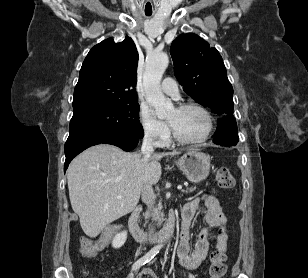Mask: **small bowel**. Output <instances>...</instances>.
I'll list each match as a JSON object with an SVG mask.
<instances>
[{"label": "small bowel", "mask_w": 308, "mask_h": 278, "mask_svg": "<svg viewBox=\"0 0 308 278\" xmlns=\"http://www.w3.org/2000/svg\"><path fill=\"white\" fill-rule=\"evenodd\" d=\"M202 213L204 225L197 233V240L194 249L190 252L191 224L196 214ZM182 226L180 241L176 252L180 265L186 270H196L205 260L209 250V236L211 229H225L227 219L222 211L218 199L214 196L204 195L201 198L194 199L186 203L181 211ZM217 249L226 251L227 235L218 234ZM136 278H154L149 268L143 269Z\"/></svg>", "instance_id": "small-bowel-1"}]
</instances>
